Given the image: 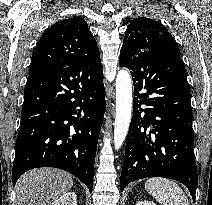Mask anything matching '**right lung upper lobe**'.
Masks as SVG:
<instances>
[{
  "label": "right lung upper lobe",
  "mask_w": 212,
  "mask_h": 205,
  "mask_svg": "<svg viewBox=\"0 0 212 205\" xmlns=\"http://www.w3.org/2000/svg\"><path fill=\"white\" fill-rule=\"evenodd\" d=\"M100 54L87 23L71 17L53 24L41 36L32 56L29 74L72 65H100Z\"/></svg>",
  "instance_id": "1"
}]
</instances>
